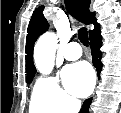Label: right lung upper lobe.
<instances>
[{
	"label": "right lung upper lobe",
	"mask_w": 121,
	"mask_h": 113,
	"mask_svg": "<svg viewBox=\"0 0 121 113\" xmlns=\"http://www.w3.org/2000/svg\"><path fill=\"white\" fill-rule=\"evenodd\" d=\"M66 7L73 16L85 24L93 23L94 29L89 31V36L100 30L99 24L96 22L95 14L89 11L90 0H65ZM44 6L37 8L30 20L28 26V34L26 39V65H27V78L34 77L36 68L33 64V47L37 38L48 29L47 20L44 18Z\"/></svg>",
	"instance_id": "cb5924a9"
}]
</instances>
